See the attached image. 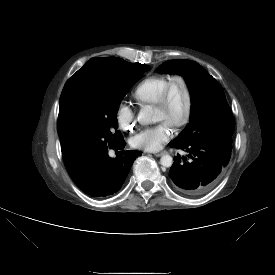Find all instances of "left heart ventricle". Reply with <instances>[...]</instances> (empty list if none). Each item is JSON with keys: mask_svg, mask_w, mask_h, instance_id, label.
<instances>
[{"mask_svg": "<svg viewBox=\"0 0 275 275\" xmlns=\"http://www.w3.org/2000/svg\"><path fill=\"white\" fill-rule=\"evenodd\" d=\"M186 102L187 95L185 88L181 81H176L169 106L164 109L155 108V119L172 126L183 115Z\"/></svg>", "mask_w": 275, "mask_h": 275, "instance_id": "b2bd125f", "label": "left heart ventricle"}]
</instances>
